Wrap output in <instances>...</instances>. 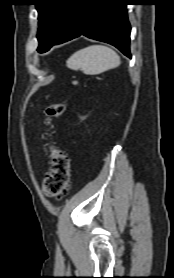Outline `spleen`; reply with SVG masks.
Returning <instances> with one entry per match:
<instances>
[{
  "label": "spleen",
  "instance_id": "obj_1",
  "mask_svg": "<svg viewBox=\"0 0 174 278\" xmlns=\"http://www.w3.org/2000/svg\"><path fill=\"white\" fill-rule=\"evenodd\" d=\"M119 55L109 47L91 45L75 52L68 60L67 67L81 70L87 75H96L120 65Z\"/></svg>",
  "mask_w": 174,
  "mask_h": 278
}]
</instances>
